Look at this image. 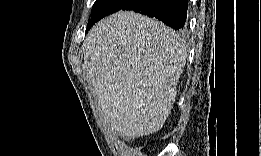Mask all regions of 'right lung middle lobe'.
I'll return each instance as SVG.
<instances>
[{"label": "right lung middle lobe", "mask_w": 261, "mask_h": 156, "mask_svg": "<svg viewBox=\"0 0 261 156\" xmlns=\"http://www.w3.org/2000/svg\"><path fill=\"white\" fill-rule=\"evenodd\" d=\"M130 1L131 0H96L92 8L91 21H89L86 31H88L95 22L110 13L120 10Z\"/></svg>", "instance_id": "dd1d6c3e"}]
</instances>
